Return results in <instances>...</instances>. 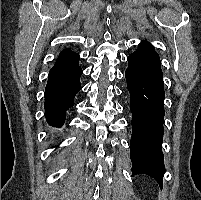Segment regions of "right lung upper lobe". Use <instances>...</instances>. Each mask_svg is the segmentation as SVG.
<instances>
[{
	"label": "right lung upper lobe",
	"mask_w": 201,
	"mask_h": 200,
	"mask_svg": "<svg viewBox=\"0 0 201 200\" xmlns=\"http://www.w3.org/2000/svg\"><path fill=\"white\" fill-rule=\"evenodd\" d=\"M79 55L74 53L70 49L63 50L57 60L55 65L49 72V76L64 73L70 71L78 66Z\"/></svg>",
	"instance_id": "right-lung-upper-lobe-1"
}]
</instances>
